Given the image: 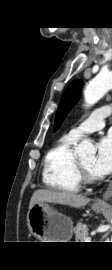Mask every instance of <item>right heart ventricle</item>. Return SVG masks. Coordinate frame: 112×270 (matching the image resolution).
<instances>
[{
	"label": "right heart ventricle",
	"instance_id": "1",
	"mask_svg": "<svg viewBox=\"0 0 112 270\" xmlns=\"http://www.w3.org/2000/svg\"><path fill=\"white\" fill-rule=\"evenodd\" d=\"M76 141L67 134L46 153L42 178L48 188L63 193L80 191L81 183L75 168L77 158L73 150Z\"/></svg>",
	"mask_w": 112,
	"mask_h": 270
}]
</instances>
